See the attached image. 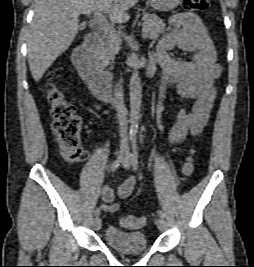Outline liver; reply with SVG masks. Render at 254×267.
<instances>
[{
    "label": "liver",
    "mask_w": 254,
    "mask_h": 267,
    "mask_svg": "<svg viewBox=\"0 0 254 267\" xmlns=\"http://www.w3.org/2000/svg\"><path fill=\"white\" fill-rule=\"evenodd\" d=\"M139 0H35L27 40L28 63L35 81L71 45L78 33L79 16L93 11L109 14L114 23H125Z\"/></svg>",
    "instance_id": "liver-1"
}]
</instances>
